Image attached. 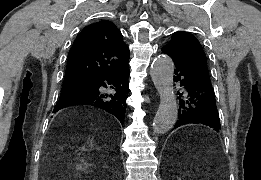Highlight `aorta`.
Wrapping results in <instances>:
<instances>
[{"mask_svg":"<svg viewBox=\"0 0 261 180\" xmlns=\"http://www.w3.org/2000/svg\"><path fill=\"white\" fill-rule=\"evenodd\" d=\"M151 78L160 96V105L153 120V130L163 134L172 129L177 115V99L173 89L174 63L169 56H158L151 66Z\"/></svg>","mask_w":261,"mask_h":180,"instance_id":"1","label":"aorta"}]
</instances>
